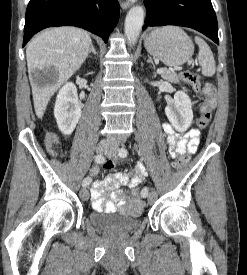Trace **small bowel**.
<instances>
[{"mask_svg": "<svg viewBox=\"0 0 247 275\" xmlns=\"http://www.w3.org/2000/svg\"><path fill=\"white\" fill-rule=\"evenodd\" d=\"M163 131L166 134L169 146V154L176 158L185 153L194 154L197 151L200 142V131L196 128L190 129L184 134H178L171 124L164 123ZM49 152L52 155L56 153L50 147ZM99 173V167H92L90 174L96 176ZM147 172L142 164H138L134 169V174L129 178L121 172L108 174L104 179L95 181L91 189L92 207L96 211L113 212L117 209L124 213L136 214L143 207V203L133 197H130L123 186L128 185L130 188L139 187L146 177ZM104 192L109 193L110 200L103 199Z\"/></svg>", "mask_w": 247, "mask_h": 275, "instance_id": "obj_1", "label": "small bowel"}]
</instances>
